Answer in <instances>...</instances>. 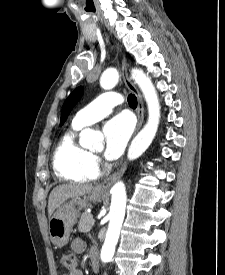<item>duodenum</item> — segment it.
<instances>
[{
  "label": "duodenum",
  "mask_w": 225,
  "mask_h": 275,
  "mask_svg": "<svg viewBox=\"0 0 225 275\" xmlns=\"http://www.w3.org/2000/svg\"><path fill=\"white\" fill-rule=\"evenodd\" d=\"M92 268L94 271L98 270V263H97V259H96V254H92Z\"/></svg>",
  "instance_id": "1"
}]
</instances>
